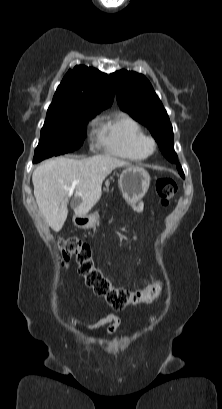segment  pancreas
<instances>
[{"mask_svg": "<svg viewBox=\"0 0 222 409\" xmlns=\"http://www.w3.org/2000/svg\"><path fill=\"white\" fill-rule=\"evenodd\" d=\"M109 181H107L106 183H105V185H106V188H108L109 187Z\"/></svg>", "mask_w": 222, "mask_h": 409, "instance_id": "cf45deb5", "label": "pancreas"}]
</instances>
